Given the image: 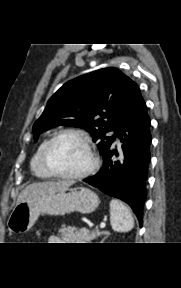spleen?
I'll return each mask as SVG.
<instances>
[{
    "label": "spleen",
    "instance_id": "obj_1",
    "mask_svg": "<svg viewBox=\"0 0 181 288\" xmlns=\"http://www.w3.org/2000/svg\"><path fill=\"white\" fill-rule=\"evenodd\" d=\"M110 223L116 232H128L134 227V219L129 209L119 200L110 202Z\"/></svg>",
    "mask_w": 181,
    "mask_h": 288
}]
</instances>
